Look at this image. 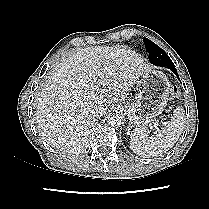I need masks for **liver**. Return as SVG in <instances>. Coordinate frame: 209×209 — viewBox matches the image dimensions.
<instances>
[{"mask_svg": "<svg viewBox=\"0 0 209 209\" xmlns=\"http://www.w3.org/2000/svg\"><path fill=\"white\" fill-rule=\"evenodd\" d=\"M150 68L121 47H87L62 60L37 98L36 119L43 139L55 149L82 152L95 115L129 94Z\"/></svg>", "mask_w": 209, "mask_h": 209, "instance_id": "liver-1", "label": "liver"}]
</instances>
